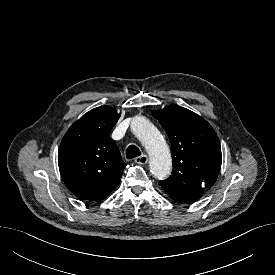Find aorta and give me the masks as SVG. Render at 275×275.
Instances as JSON below:
<instances>
[{
    "label": "aorta",
    "instance_id": "obj_1",
    "mask_svg": "<svg viewBox=\"0 0 275 275\" xmlns=\"http://www.w3.org/2000/svg\"><path fill=\"white\" fill-rule=\"evenodd\" d=\"M131 129L148 152L150 171L154 177L165 179L171 172L172 159L161 133L143 116L132 120Z\"/></svg>",
    "mask_w": 275,
    "mask_h": 275
}]
</instances>
